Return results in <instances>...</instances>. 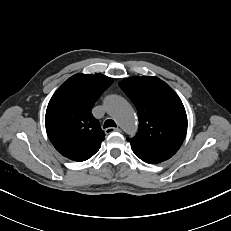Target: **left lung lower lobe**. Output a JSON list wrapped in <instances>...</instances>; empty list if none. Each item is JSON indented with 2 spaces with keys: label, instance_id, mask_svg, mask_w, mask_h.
Here are the masks:
<instances>
[{
  "label": "left lung lower lobe",
  "instance_id": "obj_1",
  "mask_svg": "<svg viewBox=\"0 0 231 231\" xmlns=\"http://www.w3.org/2000/svg\"><path fill=\"white\" fill-rule=\"evenodd\" d=\"M142 161L148 163V164H155V163H160L163 162L167 159H163V158H158V157H149V156H142L139 154H136Z\"/></svg>",
  "mask_w": 231,
  "mask_h": 231
}]
</instances>
